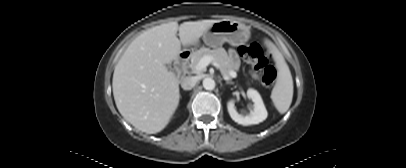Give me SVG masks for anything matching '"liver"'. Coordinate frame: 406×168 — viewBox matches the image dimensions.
<instances>
[{"instance_id":"obj_1","label":"liver","mask_w":406,"mask_h":168,"mask_svg":"<svg viewBox=\"0 0 406 168\" xmlns=\"http://www.w3.org/2000/svg\"><path fill=\"white\" fill-rule=\"evenodd\" d=\"M199 20L161 24L136 37L115 66L112 88L118 111L147 134L162 131L179 104V80L166 65L181 45H193L216 22ZM179 31V38L177 32Z\"/></svg>"}]
</instances>
